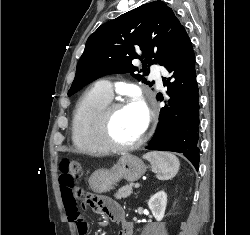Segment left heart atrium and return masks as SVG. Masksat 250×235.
<instances>
[{
    "mask_svg": "<svg viewBox=\"0 0 250 235\" xmlns=\"http://www.w3.org/2000/svg\"><path fill=\"white\" fill-rule=\"evenodd\" d=\"M133 110L140 116L143 130L146 128L148 123V109L145 102L141 98H136L131 104Z\"/></svg>",
    "mask_w": 250,
    "mask_h": 235,
    "instance_id": "1",
    "label": "left heart atrium"
}]
</instances>
